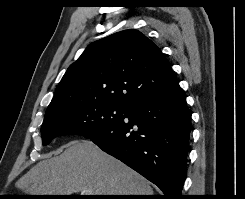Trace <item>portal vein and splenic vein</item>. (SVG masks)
Segmentation results:
<instances>
[{"label": "portal vein and splenic vein", "mask_w": 245, "mask_h": 199, "mask_svg": "<svg viewBox=\"0 0 245 199\" xmlns=\"http://www.w3.org/2000/svg\"><path fill=\"white\" fill-rule=\"evenodd\" d=\"M83 193H84L85 195H91V191H90V190H84Z\"/></svg>", "instance_id": "obj_1"}]
</instances>
